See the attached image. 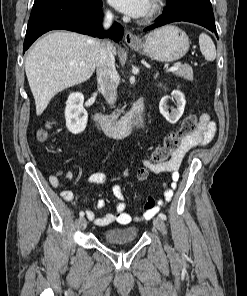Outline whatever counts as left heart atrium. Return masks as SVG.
Instances as JSON below:
<instances>
[{
    "mask_svg": "<svg viewBox=\"0 0 247 296\" xmlns=\"http://www.w3.org/2000/svg\"><path fill=\"white\" fill-rule=\"evenodd\" d=\"M109 2L120 12L134 18L144 16L151 6V0H109Z\"/></svg>",
    "mask_w": 247,
    "mask_h": 296,
    "instance_id": "obj_1",
    "label": "left heart atrium"
}]
</instances>
